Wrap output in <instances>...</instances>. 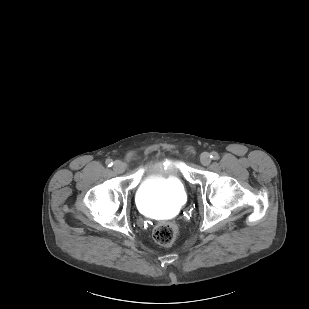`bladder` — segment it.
I'll return each mask as SVG.
<instances>
[{
    "instance_id": "31cf9c89",
    "label": "bladder",
    "mask_w": 309,
    "mask_h": 309,
    "mask_svg": "<svg viewBox=\"0 0 309 309\" xmlns=\"http://www.w3.org/2000/svg\"><path fill=\"white\" fill-rule=\"evenodd\" d=\"M135 200L139 210L149 216L170 215L183 208L187 190L171 161L155 160L147 165Z\"/></svg>"
}]
</instances>
